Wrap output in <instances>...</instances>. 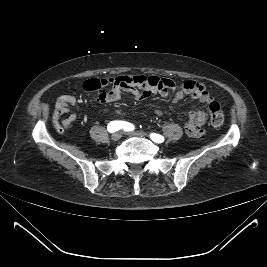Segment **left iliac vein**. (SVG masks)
Listing matches in <instances>:
<instances>
[{"label": "left iliac vein", "mask_w": 267, "mask_h": 267, "mask_svg": "<svg viewBox=\"0 0 267 267\" xmlns=\"http://www.w3.org/2000/svg\"><path fill=\"white\" fill-rule=\"evenodd\" d=\"M129 136H136V137H147L148 134L143 131H133L128 133Z\"/></svg>", "instance_id": "4c4485c4"}]
</instances>
